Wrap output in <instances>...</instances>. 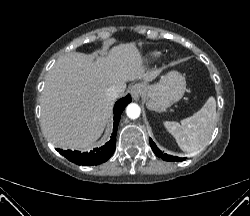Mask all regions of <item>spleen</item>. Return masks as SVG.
<instances>
[{"mask_svg":"<svg viewBox=\"0 0 250 216\" xmlns=\"http://www.w3.org/2000/svg\"><path fill=\"white\" fill-rule=\"evenodd\" d=\"M216 101L209 97L194 115L176 121H165L164 126L184 152H197L209 141L216 124Z\"/></svg>","mask_w":250,"mask_h":216,"instance_id":"obj_1","label":"spleen"}]
</instances>
